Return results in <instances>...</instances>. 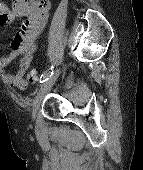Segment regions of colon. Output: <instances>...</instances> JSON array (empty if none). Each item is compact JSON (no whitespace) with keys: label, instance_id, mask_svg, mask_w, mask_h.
Listing matches in <instances>:
<instances>
[{"label":"colon","instance_id":"1","mask_svg":"<svg viewBox=\"0 0 143 170\" xmlns=\"http://www.w3.org/2000/svg\"><path fill=\"white\" fill-rule=\"evenodd\" d=\"M39 80V73L36 70H32L29 74H28V82L35 84L37 83Z\"/></svg>","mask_w":143,"mask_h":170}]
</instances>
